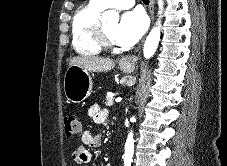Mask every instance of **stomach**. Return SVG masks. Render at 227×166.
Returning a JSON list of instances; mask_svg holds the SVG:
<instances>
[{
	"label": "stomach",
	"instance_id": "obj_1",
	"mask_svg": "<svg viewBox=\"0 0 227 166\" xmlns=\"http://www.w3.org/2000/svg\"><path fill=\"white\" fill-rule=\"evenodd\" d=\"M123 73H132L134 63L119 64ZM92 78L89 71L78 66H69L64 76V92L67 100L73 103L83 102L92 91Z\"/></svg>",
	"mask_w": 227,
	"mask_h": 166
}]
</instances>
